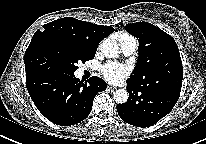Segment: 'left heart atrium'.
Listing matches in <instances>:
<instances>
[{"label": "left heart atrium", "mask_w": 206, "mask_h": 144, "mask_svg": "<svg viewBox=\"0 0 206 144\" xmlns=\"http://www.w3.org/2000/svg\"><path fill=\"white\" fill-rule=\"evenodd\" d=\"M101 74L108 82L117 84L129 75V68L124 64L109 62L101 67Z\"/></svg>", "instance_id": "39dd6f15"}]
</instances>
